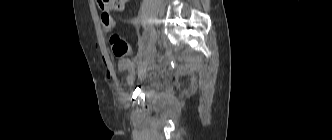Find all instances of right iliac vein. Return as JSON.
Masks as SVG:
<instances>
[{
  "label": "right iliac vein",
  "instance_id": "right-iliac-vein-1",
  "mask_svg": "<svg viewBox=\"0 0 332 140\" xmlns=\"http://www.w3.org/2000/svg\"><path fill=\"white\" fill-rule=\"evenodd\" d=\"M155 42H156V34H155V32L153 31V32H151V34H150V38H149V41H148V44H147L146 50H145V52H144V54H143V57H144V58H149V57H150L151 52H152V49H153V47H154V45H155Z\"/></svg>",
  "mask_w": 332,
  "mask_h": 140
}]
</instances>
